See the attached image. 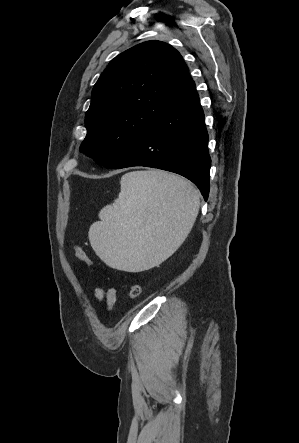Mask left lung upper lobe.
<instances>
[{"label": "left lung upper lobe", "mask_w": 299, "mask_h": 443, "mask_svg": "<svg viewBox=\"0 0 299 443\" xmlns=\"http://www.w3.org/2000/svg\"><path fill=\"white\" fill-rule=\"evenodd\" d=\"M192 78L180 53L146 41L116 56L96 82L80 151L112 168Z\"/></svg>", "instance_id": "1"}]
</instances>
